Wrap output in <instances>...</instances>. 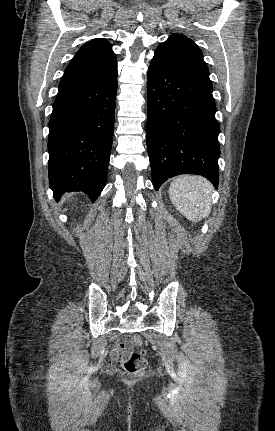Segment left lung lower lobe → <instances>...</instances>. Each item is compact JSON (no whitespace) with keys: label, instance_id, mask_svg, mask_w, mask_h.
I'll list each match as a JSON object with an SVG mask.
<instances>
[{"label":"left lung lower lobe","instance_id":"obj_1","mask_svg":"<svg viewBox=\"0 0 275 431\" xmlns=\"http://www.w3.org/2000/svg\"><path fill=\"white\" fill-rule=\"evenodd\" d=\"M147 88V149L155 190L179 174L202 175L217 187L220 126L213 89L178 54L162 46L151 60Z\"/></svg>","mask_w":275,"mask_h":431}]
</instances>
